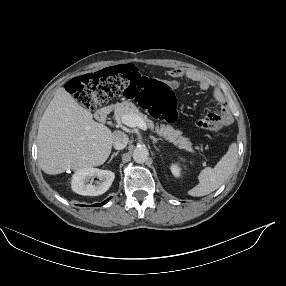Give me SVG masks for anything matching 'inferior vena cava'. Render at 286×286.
Instances as JSON below:
<instances>
[{
    "label": "inferior vena cava",
    "instance_id": "obj_1",
    "mask_svg": "<svg viewBox=\"0 0 286 286\" xmlns=\"http://www.w3.org/2000/svg\"><path fill=\"white\" fill-rule=\"evenodd\" d=\"M129 141L128 136L121 131L114 132L113 146L117 150L124 149Z\"/></svg>",
    "mask_w": 286,
    "mask_h": 286
}]
</instances>
